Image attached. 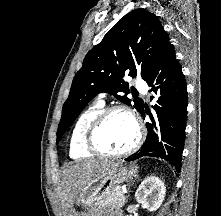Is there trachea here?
Wrapping results in <instances>:
<instances>
[{"mask_svg": "<svg viewBox=\"0 0 221 216\" xmlns=\"http://www.w3.org/2000/svg\"><path fill=\"white\" fill-rule=\"evenodd\" d=\"M134 94H138V92H134Z\"/></svg>", "mask_w": 221, "mask_h": 216, "instance_id": "3493384b", "label": "trachea"}]
</instances>
